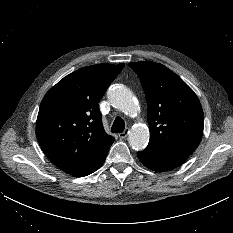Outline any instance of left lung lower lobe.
I'll return each instance as SVG.
<instances>
[{"label":"left lung lower lobe","instance_id":"0a47b994","mask_svg":"<svg viewBox=\"0 0 233 233\" xmlns=\"http://www.w3.org/2000/svg\"><path fill=\"white\" fill-rule=\"evenodd\" d=\"M137 156L146 167L157 172L172 170L183 164L189 157L185 153L162 151L151 147L138 152Z\"/></svg>","mask_w":233,"mask_h":233}]
</instances>
